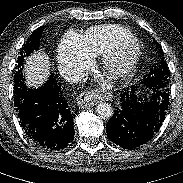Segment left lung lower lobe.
<instances>
[{
    "label": "left lung lower lobe",
    "mask_w": 183,
    "mask_h": 183,
    "mask_svg": "<svg viewBox=\"0 0 183 183\" xmlns=\"http://www.w3.org/2000/svg\"><path fill=\"white\" fill-rule=\"evenodd\" d=\"M133 87L121 91L119 105L107 122L109 139L125 149L136 148L159 130L169 104V92L153 90L145 100L135 95Z\"/></svg>",
    "instance_id": "left-lung-lower-lobe-1"
}]
</instances>
